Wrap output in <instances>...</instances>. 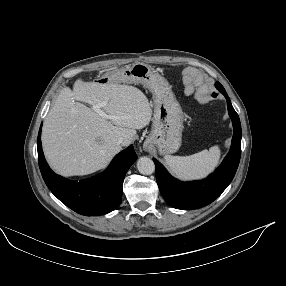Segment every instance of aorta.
<instances>
[{"instance_id":"1","label":"aorta","mask_w":286,"mask_h":286,"mask_svg":"<svg viewBox=\"0 0 286 286\" xmlns=\"http://www.w3.org/2000/svg\"><path fill=\"white\" fill-rule=\"evenodd\" d=\"M137 169L143 175H150L155 171V165L149 157H141L137 161Z\"/></svg>"}]
</instances>
